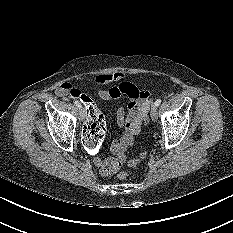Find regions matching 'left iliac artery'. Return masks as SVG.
<instances>
[{
  "mask_svg": "<svg viewBox=\"0 0 233 233\" xmlns=\"http://www.w3.org/2000/svg\"><path fill=\"white\" fill-rule=\"evenodd\" d=\"M160 103H161V99L159 98V99H157V100L155 101L154 104H155V106L158 107V106L160 105Z\"/></svg>",
  "mask_w": 233,
  "mask_h": 233,
  "instance_id": "left-iliac-artery-1",
  "label": "left iliac artery"
}]
</instances>
